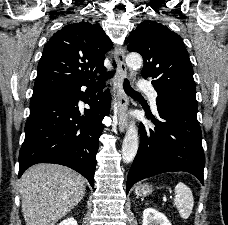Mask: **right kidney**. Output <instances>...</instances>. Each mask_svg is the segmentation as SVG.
I'll list each match as a JSON object with an SVG mask.
<instances>
[{
	"label": "right kidney",
	"mask_w": 228,
	"mask_h": 225,
	"mask_svg": "<svg viewBox=\"0 0 228 225\" xmlns=\"http://www.w3.org/2000/svg\"><path fill=\"white\" fill-rule=\"evenodd\" d=\"M59 225H77V221L73 217H68V219H64Z\"/></svg>",
	"instance_id": "right-kidney-1"
}]
</instances>
